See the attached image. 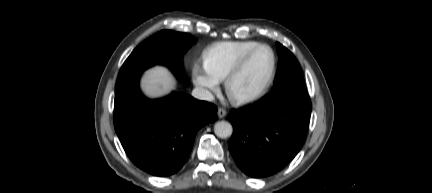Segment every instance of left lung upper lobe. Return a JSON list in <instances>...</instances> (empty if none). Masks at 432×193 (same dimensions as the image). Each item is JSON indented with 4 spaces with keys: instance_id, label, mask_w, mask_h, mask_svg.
Returning <instances> with one entry per match:
<instances>
[{
    "instance_id": "5c2ea615",
    "label": "left lung upper lobe",
    "mask_w": 432,
    "mask_h": 193,
    "mask_svg": "<svg viewBox=\"0 0 432 193\" xmlns=\"http://www.w3.org/2000/svg\"><path fill=\"white\" fill-rule=\"evenodd\" d=\"M279 63L274 81V92L307 93L301 67L295 56L283 45L276 43Z\"/></svg>"
}]
</instances>
